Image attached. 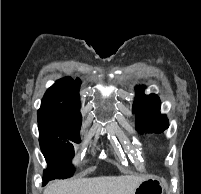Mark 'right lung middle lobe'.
<instances>
[{
    "label": "right lung middle lobe",
    "mask_w": 201,
    "mask_h": 194,
    "mask_svg": "<svg viewBox=\"0 0 201 194\" xmlns=\"http://www.w3.org/2000/svg\"><path fill=\"white\" fill-rule=\"evenodd\" d=\"M81 119L70 117L59 107H41L38 111L39 142L43 154L58 151L63 155L59 161L49 162L44 171L47 177L67 178L73 174L71 160L74 147L70 143L80 142Z\"/></svg>",
    "instance_id": "1"
}]
</instances>
